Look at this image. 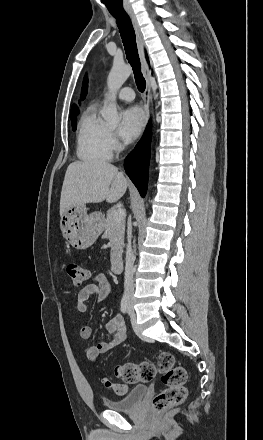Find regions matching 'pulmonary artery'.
Segmentation results:
<instances>
[{"label":"pulmonary artery","mask_w":263,"mask_h":440,"mask_svg":"<svg viewBox=\"0 0 263 440\" xmlns=\"http://www.w3.org/2000/svg\"><path fill=\"white\" fill-rule=\"evenodd\" d=\"M117 97L123 101H132L135 98V93L130 87H123L118 93Z\"/></svg>","instance_id":"1"}]
</instances>
